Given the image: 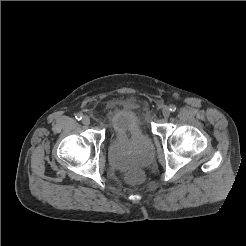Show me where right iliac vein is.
I'll return each instance as SVG.
<instances>
[{"label": "right iliac vein", "instance_id": "obj_1", "mask_svg": "<svg viewBox=\"0 0 246 246\" xmlns=\"http://www.w3.org/2000/svg\"><path fill=\"white\" fill-rule=\"evenodd\" d=\"M82 123H83L84 125H89V124H90V118H89L88 116H84V117L82 118Z\"/></svg>", "mask_w": 246, "mask_h": 246}]
</instances>
